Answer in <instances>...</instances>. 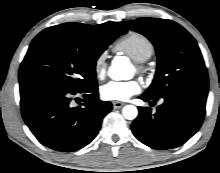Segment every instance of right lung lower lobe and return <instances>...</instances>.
<instances>
[{"instance_id": "98d812e1", "label": "right lung lower lobe", "mask_w": 220, "mask_h": 173, "mask_svg": "<svg viewBox=\"0 0 220 173\" xmlns=\"http://www.w3.org/2000/svg\"><path fill=\"white\" fill-rule=\"evenodd\" d=\"M97 90V85L73 91L44 82H22L23 118L43 145L62 152L79 150L96 137L112 109L110 102L99 100ZM80 95L84 103L73 107V97Z\"/></svg>"}]
</instances>
